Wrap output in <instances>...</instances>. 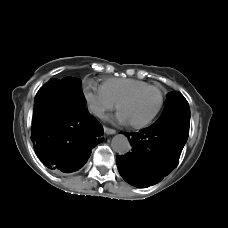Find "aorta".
Returning <instances> with one entry per match:
<instances>
[{
    "label": "aorta",
    "mask_w": 228,
    "mask_h": 228,
    "mask_svg": "<svg viewBox=\"0 0 228 228\" xmlns=\"http://www.w3.org/2000/svg\"><path fill=\"white\" fill-rule=\"evenodd\" d=\"M111 147L119 154H126L131 148L128 138L123 134H118L113 137Z\"/></svg>",
    "instance_id": "762f6f07"
}]
</instances>
